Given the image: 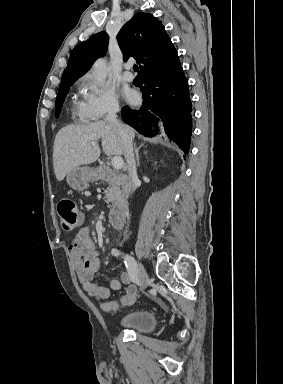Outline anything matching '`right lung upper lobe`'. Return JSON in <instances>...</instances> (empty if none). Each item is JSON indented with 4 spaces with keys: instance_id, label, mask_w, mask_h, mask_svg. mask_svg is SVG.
Segmentation results:
<instances>
[{
    "instance_id": "cb5924a9",
    "label": "right lung upper lobe",
    "mask_w": 283,
    "mask_h": 384,
    "mask_svg": "<svg viewBox=\"0 0 283 384\" xmlns=\"http://www.w3.org/2000/svg\"><path fill=\"white\" fill-rule=\"evenodd\" d=\"M117 39L124 60L134 57L141 64L140 79L166 71L179 63L177 51L164 26L152 14L139 12L134 15L122 27ZM108 40L107 33L99 32L77 45L70 54L61 84L75 82L84 75L98 57L105 55Z\"/></svg>"
}]
</instances>
